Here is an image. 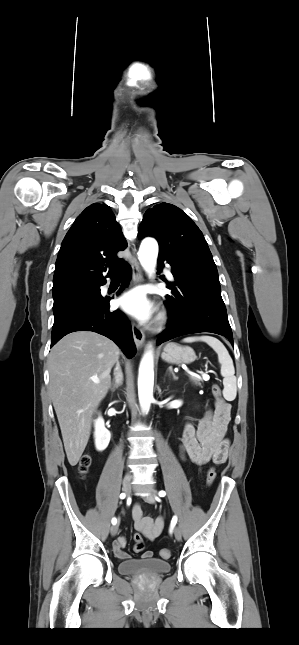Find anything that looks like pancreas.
<instances>
[{
  "mask_svg": "<svg viewBox=\"0 0 299 645\" xmlns=\"http://www.w3.org/2000/svg\"><path fill=\"white\" fill-rule=\"evenodd\" d=\"M190 379H191L195 384L200 385V381H201V379H200V378L195 377V376H190ZM203 380H205V379H204V377H203Z\"/></svg>",
  "mask_w": 299,
  "mask_h": 645,
  "instance_id": "obj_1",
  "label": "pancreas"
}]
</instances>
